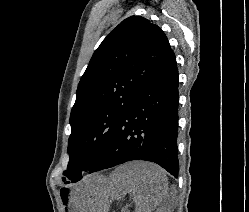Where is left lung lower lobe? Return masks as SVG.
Wrapping results in <instances>:
<instances>
[{
	"instance_id": "obj_1",
	"label": "left lung lower lobe",
	"mask_w": 249,
	"mask_h": 212,
	"mask_svg": "<svg viewBox=\"0 0 249 212\" xmlns=\"http://www.w3.org/2000/svg\"><path fill=\"white\" fill-rule=\"evenodd\" d=\"M178 84L176 58L170 50L131 100L114 128L110 145L89 173L145 160L177 177Z\"/></svg>"
}]
</instances>
